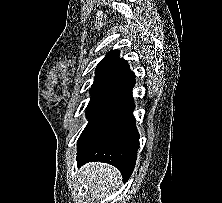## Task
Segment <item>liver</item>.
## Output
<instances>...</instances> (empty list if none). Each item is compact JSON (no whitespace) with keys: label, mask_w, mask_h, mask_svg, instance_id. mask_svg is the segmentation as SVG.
<instances>
[{"label":"liver","mask_w":222,"mask_h":203,"mask_svg":"<svg viewBox=\"0 0 222 203\" xmlns=\"http://www.w3.org/2000/svg\"><path fill=\"white\" fill-rule=\"evenodd\" d=\"M82 173L90 189L101 192L102 195L112 192L121 180V174L115 167L103 163L87 164L83 167Z\"/></svg>","instance_id":"liver-1"}]
</instances>
